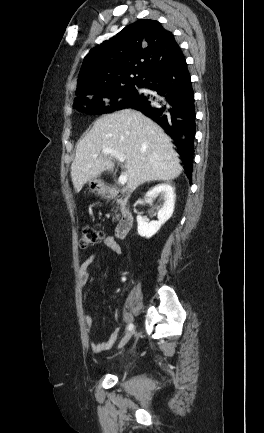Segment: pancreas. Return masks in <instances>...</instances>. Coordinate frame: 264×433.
<instances>
[{
  "label": "pancreas",
  "instance_id": "cf45deb5",
  "mask_svg": "<svg viewBox=\"0 0 264 433\" xmlns=\"http://www.w3.org/2000/svg\"><path fill=\"white\" fill-rule=\"evenodd\" d=\"M118 218H119V216L117 215L116 218H115V220H118Z\"/></svg>",
  "mask_w": 264,
  "mask_h": 433
}]
</instances>
